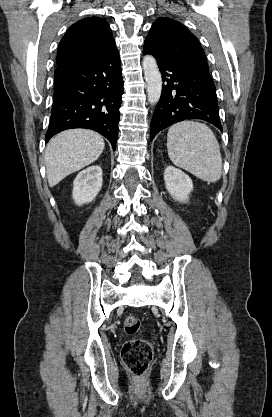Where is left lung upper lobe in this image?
<instances>
[{"label": "left lung upper lobe", "instance_id": "obj_1", "mask_svg": "<svg viewBox=\"0 0 272 417\" xmlns=\"http://www.w3.org/2000/svg\"><path fill=\"white\" fill-rule=\"evenodd\" d=\"M144 49L155 57L183 60L208 69L198 39L178 21L160 18L152 25Z\"/></svg>", "mask_w": 272, "mask_h": 417}]
</instances>
